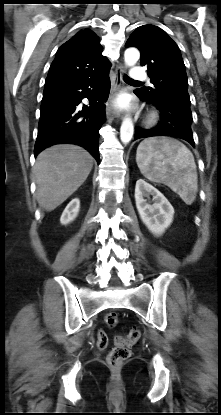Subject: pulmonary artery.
Here are the masks:
<instances>
[{
  "instance_id": "obj_1",
  "label": "pulmonary artery",
  "mask_w": 221,
  "mask_h": 415,
  "mask_svg": "<svg viewBox=\"0 0 221 415\" xmlns=\"http://www.w3.org/2000/svg\"><path fill=\"white\" fill-rule=\"evenodd\" d=\"M131 78L135 81L147 80L146 72L140 67H134L131 71Z\"/></svg>"
}]
</instances>
